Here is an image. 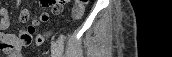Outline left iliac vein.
Listing matches in <instances>:
<instances>
[{
	"mask_svg": "<svg viewBox=\"0 0 172 57\" xmlns=\"http://www.w3.org/2000/svg\"><path fill=\"white\" fill-rule=\"evenodd\" d=\"M51 54H52V57H60L58 45L54 41L52 42V45H51Z\"/></svg>",
	"mask_w": 172,
	"mask_h": 57,
	"instance_id": "obj_1",
	"label": "left iliac vein"
}]
</instances>
